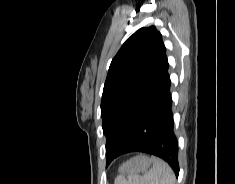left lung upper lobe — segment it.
<instances>
[{
  "mask_svg": "<svg viewBox=\"0 0 235 184\" xmlns=\"http://www.w3.org/2000/svg\"><path fill=\"white\" fill-rule=\"evenodd\" d=\"M166 48L154 26L129 37L113 58L104 84L101 117L106 166L122 149L156 82Z\"/></svg>",
  "mask_w": 235,
  "mask_h": 184,
  "instance_id": "obj_1",
  "label": "left lung upper lobe"
}]
</instances>
